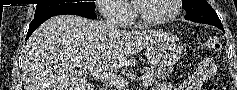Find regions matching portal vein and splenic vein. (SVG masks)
Masks as SVG:
<instances>
[{"mask_svg": "<svg viewBox=\"0 0 237 90\" xmlns=\"http://www.w3.org/2000/svg\"><path fill=\"white\" fill-rule=\"evenodd\" d=\"M107 82L116 86V88H125L126 80H122V78H118V76H114V74H108V76H104Z\"/></svg>", "mask_w": 237, "mask_h": 90, "instance_id": "1", "label": "portal vein and splenic vein"}]
</instances>
